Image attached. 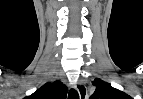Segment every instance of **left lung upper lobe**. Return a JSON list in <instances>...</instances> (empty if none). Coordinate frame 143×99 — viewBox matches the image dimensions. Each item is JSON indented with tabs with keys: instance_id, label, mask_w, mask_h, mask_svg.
<instances>
[{
	"instance_id": "left-lung-upper-lobe-1",
	"label": "left lung upper lobe",
	"mask_w": 143,
	"mask_h": 99,
	"mask_svg": "<svg viewBox=\"0 0 143 99\" xmlns=\"http://www.w3.org/2000/svg\"><path fill=\"white\" fill-rule=\"evenodd\" d=\"M92 84L95 85L96 88L90 99H132V97L126 93L113 88L111 84L100 79H95Z\"/></svg>"
}]
</instances>
